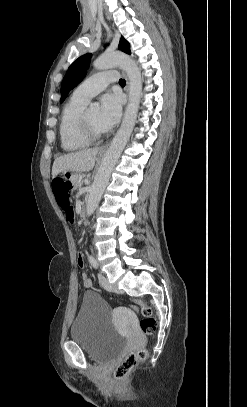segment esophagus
<instances>
[{"label":"esophagus","mask_w":247,"mask_h":407,"mask_svg":"<svg viewBox=\"0 0 247 407\" xmlns=\"http://www.w3.org/2000/svg\"><path fill=\"white\" fill-rule=\"evenodd\" d=\"M122 74H123V76H124V78L126 80L125 90H126V93L128 95L129 94V80H128V77L125 74V72L122 71ZM108 147H109V144H105V145L100 147V151H106L108 149Z\"/></svg>","instance_id":"esophagus-1"}]
</instances>
